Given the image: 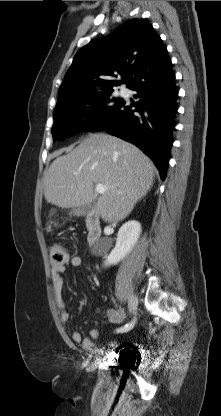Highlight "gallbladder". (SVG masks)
I'll return each mask as SVG.
<instances>
[{"label":"gallbladder","mask_w":221,"mask_h":416,"mask_svg":"<svg viewBox=\"0 0 221 416\" xmlns=\"http://www.w3.org/2000/svg\"><path fill=\"white\" fill-rule=\"evenodd\" d=\"M94 205H95V202L92 201L91 203L82 206L81 209H80V213L84 214V215L87 214L94 207Z\"/></svg>","instance_id":"bac80fb5"}]
</instances>
